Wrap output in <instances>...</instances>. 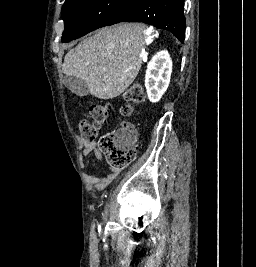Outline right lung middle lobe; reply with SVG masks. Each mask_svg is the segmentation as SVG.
I'll use <instances>...</instances> for the list:
<instances>
[{
	"label": "right lung middle lobe",
	"instance_id": "right-lung-middle-lobe-1",
	"mask_svg": "<svg viewBox=\"0 0 256 267\" xmlns=\"http://www.w3.org/2000/svg\"><path fill=\"white\" fill-rule=\"evenodd\" d=\"M138 0H66L61 13L64 20L62 42L80 38L127 14Z\"/></svg>",
	"mask_w": 256,
	"mask_h": 267
}]
</instances>
